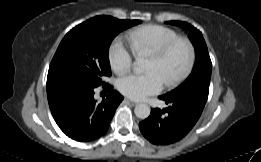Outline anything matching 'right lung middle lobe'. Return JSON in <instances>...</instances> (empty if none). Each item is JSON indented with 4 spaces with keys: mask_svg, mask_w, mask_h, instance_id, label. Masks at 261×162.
<instances>
[{
    "mask_svg": "<svg viewBox=\"0 0 261 162\" xmlns=\"http://www.w3.org/2000/svg\"><path fill=\"white\" fill-rule=\"evenodd\" d=\"M140 20L93 17L70 30L61 41L49 67L47 94L66 84L95 88L111 76L109 46L121 31Z\"/></svg>",
    "mask_w": 261,
    "mask_h": 162,
    "instance_id": "right-lung-middle-lobe-1",
    "label": "right lung middle lobe"
}]
</instances>
